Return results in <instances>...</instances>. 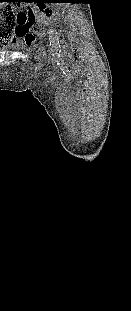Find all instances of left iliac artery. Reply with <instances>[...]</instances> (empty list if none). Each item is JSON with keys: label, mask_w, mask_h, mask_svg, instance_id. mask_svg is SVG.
<instances>
[{"label": "left iliac artery", "mask_w": 131, "mask_h": 311, "mask_svg": "<svg viewBox=\"0 0 131 311\" xmlns=\"http://www.w3.org/2000/svg\"><path fill=\"white\" fill-rule=\"evenodd\" d=\"M49 40H50V45H52L53 48L58 50L60 47L59 37H58L57 32L54 29H51L49 31Z\"/></svg>", "instance_id": "obj_1"}]
</instances>
